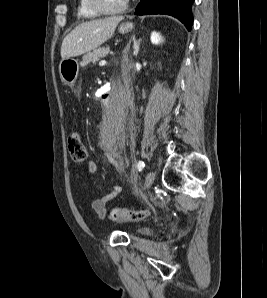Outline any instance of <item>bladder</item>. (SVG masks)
I'll use <instances>...</instances> for the list:
<instances>
[{
	"label": "bladder",
	"mask_w": 267,
	"mask_h": 298,
	"mask_svg": "<svg viewBox=\"0 0 267 298\" xmlns=\"http://www.w3.org/2000/svg\"><path fill=\"white\" fill-rule=\"evenodd\" d=\"M136 233L141 236H150L152 232L149 228H138Z\"/></svg>",
	"instance_id": "obj_1"
}]
</instances>
